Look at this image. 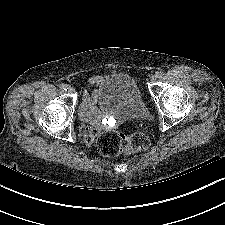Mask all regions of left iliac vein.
<instances>
[{
  "instance_id": "4c4485c4",
  "label": "left iliac vein",
  "mask_w": 225,
  "mask_h": 225,
  "mask_svg": "<svg viewBox=\"0 0 225 225\" xmlns=\"http://www.w3.org/2000/svg\"><path fill=\"white\" fill-rule=\"evenodd\" d=\"M149 79H150L151 82H155L156 81V77L154 75L150 76Z\"/></svg>"
}]
</instances>
